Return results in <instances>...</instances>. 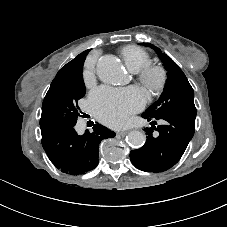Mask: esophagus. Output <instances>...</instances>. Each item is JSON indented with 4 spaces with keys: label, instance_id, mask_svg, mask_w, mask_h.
Segmentation results:
<instances>
[{
    "label": "esophagus",
    "instance_id": "obj_1",
    "mask_svg": "<svg viewBox=\"0 0 227 227\" xmlns=\"http://www.w3.org/2000/svg\"><path fill=\"white\" fill-rule=\"evenodd\" d=\"M126 134H127L126 130L117 132V135H120V136H125Z\"/></svg>",
    "mask_w": 227,
    "mask_h": 227
}]
</instances>
